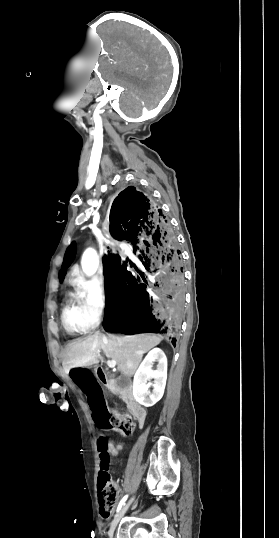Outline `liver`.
Instances as JSON below:
<instances>
[{
    "label": "liver",
    "mask_w": 279,
    "mask_h": 538,
    "mask_svg": "<svg viewBox=\"0 0 279 538\" xmlns=\"http://www.w3.org/2000/svg\"><path fill=\"white\" fill-rule=\"evenodd\" d=\"M162 340L159 334H137V336H123V338H116V336L106 338V336L93 334V336L83 338L81 342L70 344L67 368L72 370V368H86V366L98 364V354L102 350L107 358L115 360L119 372H123L124 376H133L143 354L158 346Z\"/></svg>",
    "instance_id": "1"
}]
</instances>
